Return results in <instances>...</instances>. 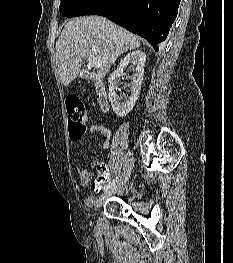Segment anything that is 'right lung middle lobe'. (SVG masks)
Wrapping results in <instances>:
<instances>
[{
  "mask_svg": "<svg viewBox=\"0 0 233 263\" xmlns=\"http://www.w3.org/2000/svg\"><path fill=\"white\" fill-rule=\"evenodd\" d=\"M108 0H61L59 11L69 18L88 15L93 7Z\"/></svg>",
  "mask_w": 233,
  "mask_h": 263,
  "instance_id": "dd1d6c3e",
  "label": "right lung middle lobe"
}]
</instances>
